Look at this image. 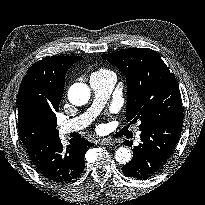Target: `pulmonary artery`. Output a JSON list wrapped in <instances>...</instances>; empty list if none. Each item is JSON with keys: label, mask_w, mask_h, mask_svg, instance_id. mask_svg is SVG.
<instances>
[{"label": "pulmonary artery", "mask_w": 205, "mask_h": 205, "mask_svg": "<svg viewBox=\"0 0 205 205\" xmlns=\"http://www.w3.org/2000/svg\"><path fill=\"white\" fill-rule=\"evenodd\" d=\"M116 80V75L110 71L93 73L89 80L94 93L92 105L80 116L61 122L59 126L60 132L67 134L88 126L106 104L114 89Z\"/></svg>", "instance_id": "pulmonary-artery-1"}]
</instances>
